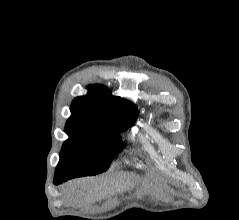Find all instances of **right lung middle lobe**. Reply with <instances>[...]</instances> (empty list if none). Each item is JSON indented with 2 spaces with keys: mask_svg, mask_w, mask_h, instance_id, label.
Wrapping results in <instances>:
<instances>
[{
  "mask_svg": "<svg viewBox=\"0 0 239 220\" xmlns=\"http://www.w3.org/2000/svg\"><path fill=\"white\" fill-rule=\"evenodd\" d=\"M134 121L135 118L108 127L66 124L65 132L70 138L63 144L54 181L62 183L106 171L121 148V128H128Z\"/></svg>",
  "mask_w": 239,
  "mask_h": 220,
  "instance_id": "obj_1",
  "label": "right lung middle lobe"
}]
</instances>
